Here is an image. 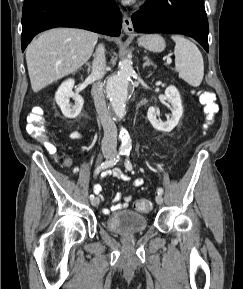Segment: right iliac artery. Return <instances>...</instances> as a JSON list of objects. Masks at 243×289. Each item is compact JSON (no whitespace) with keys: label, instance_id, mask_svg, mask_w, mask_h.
Returning a JSON list of instances; mask_svg holds the SVG:
<instances>
[{"label":"right iliac artery","instance_id":"right-iliac-artery-1","mask_svg":"<svg viewBox=\"0 0 243 289\" xmlns=\"http://www.w3.org/2000/svg\"><path fill=\"white\" fill-rule=\"evenodd\" d=\"M123 154H124V152L121 151V152H119V154H118L116 157H114V158H112V159H110V160H107V161L103 162L100 166H98V167L96 168V170H95V175L99 174V172H100L101 170H103V169H106V168H108V167L114 166V165L117 163L120 155H123ZM89 198H90V200L93 199V198H94V195H90Z\"/></svg>","mask_w":243,"mask_h":289}]
</instances>
